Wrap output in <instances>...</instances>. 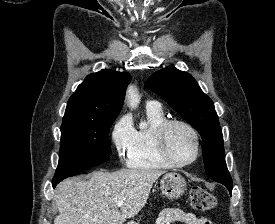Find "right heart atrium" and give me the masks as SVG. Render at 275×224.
I'll return each instance as SVG.
<instances>
[{"label": "right heart atrium", "mask_w": 275, "mask_h": 224, "mask_svg": "<svg viewBox=\"0 0 275 224\" xmlns=\"http://www.w3.org/2000/svg\"><path fill=\"white\" fill-rule=\"evenodd\" d=\"M135 128L128 116H122L114 125L111 140L120 158L127 157L134 143Z\"/></svg>", "instance_id": "obj_1"}]
</instances>
